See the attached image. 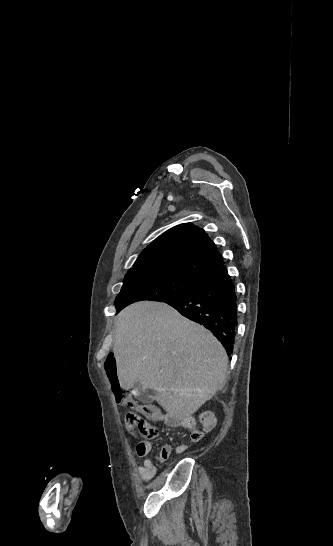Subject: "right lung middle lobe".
<instances>
[{"instance_id": "obj_1", "label": "right lung middle lobe", "mask_w": 333, "mask_h": 546, "mask_svg": "<svg viewBox=\"0 0 333 546\" xmlns=\"http://www.w3.org/2000/svg\"><path fill=\"white\" fill-rule=\"evenodd\" d=\"M200 283L199 279L167 272L137 273L126 275L115 300L117 312L127 305L141 300L164 301L187 293Z\"/></svg>"}]
</instances>
